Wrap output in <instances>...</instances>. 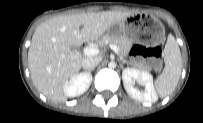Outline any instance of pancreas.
<instances>
[{
    "label": "pancreas",
    "instance_id": "pancreas-1",
    "mask_svg": "<svg viewBox=\"0 0 203 123\" xmlns=\"http://www.w3.org/2000/svg\"><path fill=\"white\" fill-rule=\"evenodd\" d=\"M106 42L116 45L121 55H127L131 48V42L122 35L114 36L110 34H105L101 38L96 40V44L100 46H103Z\"/></svg>",
    "mask_w": 203,
    "mask_h": 123
}]
</instances>
